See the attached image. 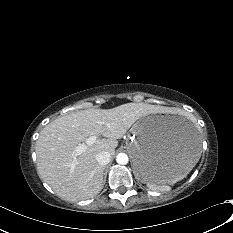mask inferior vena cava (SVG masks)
Segmentation results:
<instances>
[{"instance_id": "602c4592", "label": "inferior vena cava", "mask_w": 233, "mask_h": 233, "mask_svg": "<svg viewBox=\"0 0 233 233\" xmlns=\"http://www.w3.org/2000/svg\"><path fill=\"white\" fill-rule=\"evenodd\" d=\"M111 154L108 151H102L96 155L97 162L104 166L110 162Z\"/></svg>"}]
</instances>
